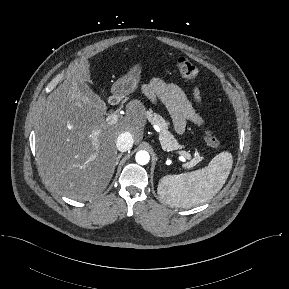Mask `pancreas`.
<instances>
[{
    "mask_svg": "<svg viewBox=\"0 0 289 289\" xmlns=\"http://www.w3.org/2000/svg\"><path fill=\"white\" fill-rule=\"evenodd\" d=\"M146 116L152 124L159 126L161 131L159 139L163 149L167 151H175L183 148V146L180 145L174 138V136L168 131V124L161 115L152 112H147ZM202 159L203 157H201L199 153H196L194 155V158L189 163H187L185 167L191 168L195 166L197 163H199Z\"/></svg>",
    "mask_w": 289,
    "mask_h": 289,
    "instance_id": "cf45deb5",
    "label": "pancreas"
}]
</instances>
